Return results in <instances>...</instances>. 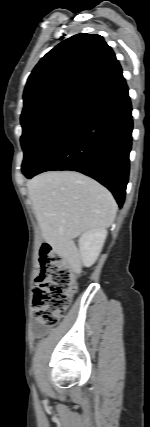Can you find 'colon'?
<instances>
[{
    "mask_svg": "<svg viewBox=\"0 0 150 427\" xmlns=\"http://www.w3.org/2000/svg\"><path fill=\"white\" fill-rule=\"evenodd\" d=\"M77 289V271L44 244L40 250V271L33 293L35 320L47 327L57 325Z\"/></svg>",
    "mask_w": 150,
    "mask_h": 427,
    "instance_id": "5ec220e1",
    "label": "colon"
}]
</instances>
